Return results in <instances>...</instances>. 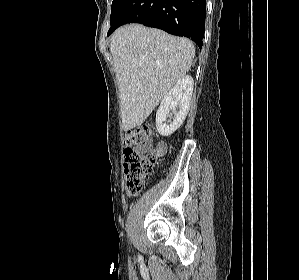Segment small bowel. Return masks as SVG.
<instances>
[{
  "mask_svg": "<svg viewBox=\"0 0 299 280\" xmlns=\"http://www.w3.org/2000/svg\"><path fill=\"white\" fill-rule=\"evenodd\" d=\"M158 153L160 156H162L163 154H165V152L167 151V146L165 143L161 142L158 144Z\"/></svg>",
  "mask_w": 299,
  "mask_h": 280,
  "instance_id": "1",
  "label": "small bowel"
}]
</instances>
